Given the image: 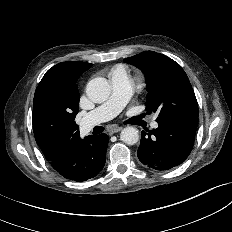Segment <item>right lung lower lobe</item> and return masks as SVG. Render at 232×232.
I'll list each match as a JSON object with an SVG mask.
<instances>
[{
  "label": "right lung lower lobe",
  "mask_w": 232,
  "mask_h": 232,
  "mask_svg": "<svg viewBox=\"0 0 232 232\" xmlns=\"http://www.w3.org/2000/svg\"><path fill=\"white\" fill-rule=\"evenodd\" d=\"M109 137H80L72 141L65 149L60 166L54 168L60 175L77 182L95 177L104 167Z\"/></svg>",
  "instance_id": "obj_1"
}]
</instances>
